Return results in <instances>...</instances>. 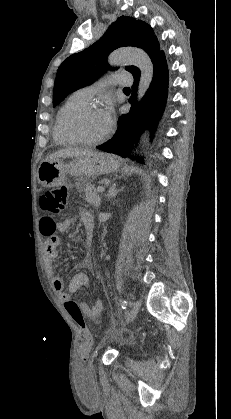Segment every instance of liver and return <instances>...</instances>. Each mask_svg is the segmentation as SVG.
<instances>
[{
  "label": "liver",
  "instance_id": "6515ba94",
  "mask_svg": "<svg viewBox=\"0 0 231 419\" xmlns=\"http://www.w3.org/2000/svg\"><path fill=\"white\" fill-rule=\"evenodd\" d=\"M92 150L81 149V148H66L58 150L57 152L49 155L46 160L55 159V158H66V157H82L92 154Z\"/></svg>",
  "mask_w": 231,
  "mask_h": 419
}]
</instances>
